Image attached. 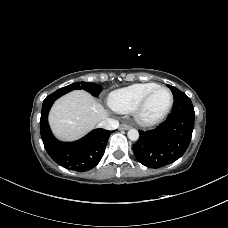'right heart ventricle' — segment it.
<instances>
[{"mask_svg": "<svg viewBox=\"0 0 228 228\" xmlns=\"http://www.w3.org/2000/svg\"><path fill=\"white\" fill-rule=\"evenodd\" d=\"M159 86L155 82L137 83L114 91L109 96L110 106L121 113L134 111L141 99L152 89Z\"/></svg>", "mask_w": 228, "mask_h": 228, "instance_id": "e07e8e85", "label": "right heart ventricle"}]
</instances>
